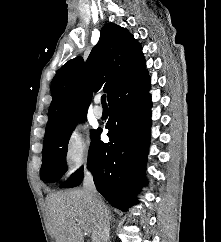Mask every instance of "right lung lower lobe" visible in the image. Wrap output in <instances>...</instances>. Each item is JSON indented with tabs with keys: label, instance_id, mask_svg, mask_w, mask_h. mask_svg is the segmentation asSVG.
<instances>
[{
	"label": "right lung lower lobe",
	"instance_id": "1",
	"mask_svg": "<svg viewBox=\"0 0 221 242\" xmlns=\"http://www.w3.org/2000/svg\"><path fill=\"white\" fill-rule=\"evenodd\" d=\"M149 90L147 70L123 84L109 100L111 115L106 128L110 142H102L97 130L89 148L88 168L96 189L122 211L138 202L135 196L144 184L151 127ZM82 179L83 167L61 187H76Z\"/></svg>",
	"mask_w": 221,
	"mask_h": 242
}]
</instances>
